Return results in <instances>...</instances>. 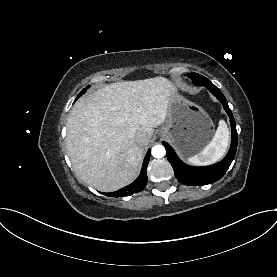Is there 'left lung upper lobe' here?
<instances>
[{
    "label": "left lung upper lobe",
    "mask_w": 277,
    "mask_h": 277,
    "mask_svg": "<svg viewBox=\"0 0 277 277\" xmlns=\"http://www.w3.org/2000/svg\"><path fill=\"white\" fill-rule=\"evenodd\" d=\"M188 76L192 79L193 83L198 86H201L202 83H205L208 81L207 78H205L202 75H199L197 73H190V74H188Z\"/></svg>",
    "instance_id": "obj_1"
}]
</instances>
